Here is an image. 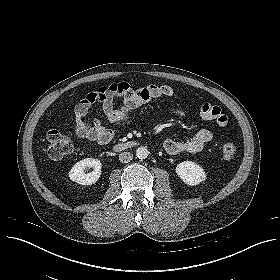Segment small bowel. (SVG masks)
Listing matches in <instances>:
<instances>
[{"instance_id":"c3829d8e","label":"small bowel","mask_w":280,"mask_h":280,"mask_svg":"<svg viewBox=\"0 0 280 280\" xmlns=\"http://www.w3.org/2000/svg\"><path fill=\"white\" fill-rule=\"evenodd\" d=\"M173 93L174 91L169 85H149L135 90L130 84L125 82L89 91L75 106V132L79 137L98 140L101 143H105L102 138H92L91 132L93 130L109 131L111 140L113 137V131L105 128L98 120H93L91 122L85 120V117L95 104H100L101 110L106 115L107 119L114 123L126 120L130 109L146 105L156 98L170 97ZM127 94L130 95L127 96ZM116 98L121 99V104L118 106L115 103ZM200 114L202 115V110H200ZM178 116L179 118H182L183 112L178 111ZM211 139V131L202 129L195 136L185 141L166 139L163 142V148L170 154L194 152L203 149Z\"/></svg>"}]
</instances>
